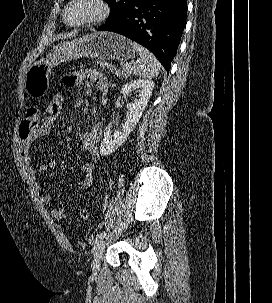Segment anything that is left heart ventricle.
Listing matches in <instances>:
<instances>
[{
  "label": "left heart ventricle",
  "mask_w": 272,
  "mask_h": 303,
  "mask_svg": "<svg viewBox=\"0 0 272 303\" xmlns=\"http://www.w3.org/2000/svg\"><path fill=\"white\" fill-rule=\"evenodd\" d=\"M97 7L89 1L78 2L73 5L68 13V19L76 22L95 15Z\"/></svg>",
  "instance_id": "1"
}]
</instances>
